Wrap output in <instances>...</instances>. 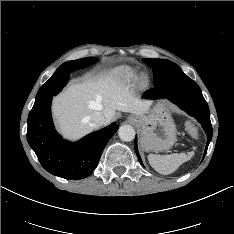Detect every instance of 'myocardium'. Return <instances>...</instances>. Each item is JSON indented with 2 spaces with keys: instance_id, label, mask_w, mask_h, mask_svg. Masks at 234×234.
<instances>
[{
  "instance_id": "1",
  "label": "myocardium",
  "mask_w": 234,
  "mask_h": 234,
  "mask_svg": "<svg viewBox=\"0 0 234 234\" xmlns=\"http://www.w3.org/2000/svg\"><path fill=\"white\" fill-rule=\"evenodd\" d=\"M148 81H149L148 76L145 73H140L136 79L138 86L141 88L146 87L148 84Z\"/></svg>"
}]
</instances>
